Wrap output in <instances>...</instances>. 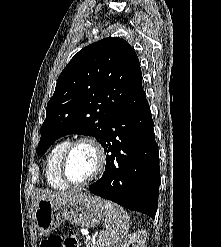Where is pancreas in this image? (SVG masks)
Returning <instances> with one entry per match:
<instances>
[{
	"label": "pancreas",
	"mask_w": 221,
	"mask_h": 247,
	"mask_svg": "<svg viewBox=\"0 0 221 247\" xmlns=\"http://www.w3.org/2000/svg\"><path fill=\"white\" fill-rule=\"evenodd\" d=\"M86 247H99V244L96 242H93L91 239L85 240Z\"/></svg>",
	"instance_id": "pancreas-1"
}]
</instances>
